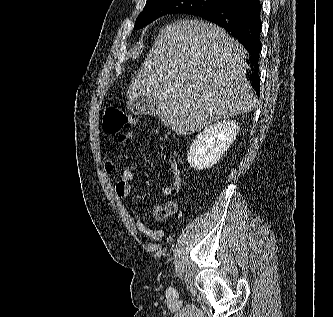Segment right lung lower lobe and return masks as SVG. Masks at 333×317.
Listing matches in <instances>:
<instances>
[{"label":"right lung lower lobe","instance_id":"98d812e1","mask_svg":"<svg viewBox=\"0 0 333 317\" xmlns=\"http://www.w3.org/2000/svg\"><path fill=\"white\" fill-rule=\"evenodd\" d=\"M260 13L261 4L259 0H235L226 2L212 10L195 14L224 28L247 49L251 64L249 78L258 96L260 94L258 63L262 29Z\"/></svg>","mask_w":333,"mask_h":317}]
</instances>
